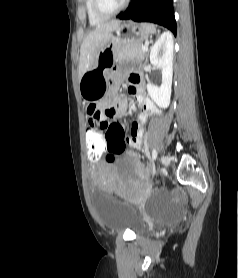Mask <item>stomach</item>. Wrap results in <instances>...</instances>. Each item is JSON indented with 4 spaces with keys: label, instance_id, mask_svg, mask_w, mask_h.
Listing matches in <instances>:
<instances>
[{
    "label": "stomach",
    "instance_id": "0dacf381",
    "mask_svg": "<svg viewBox=\"0 0 238 278\" xmlns=\"http://www.w3.org/2000/svg\"><path fill=\"white\" fill-rule=\"evenodd\" d=\"M111 34L108 45L98 54L95 65L81 77L79 91L87 102H95L105 93L109 84L108 73L113 67L117 51L124 45L142 43L150 34L145 24L123 22Z\"/></svg>",
    "mask_w": 238,
    "mask_h": 278
}]
</instances>
